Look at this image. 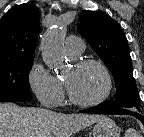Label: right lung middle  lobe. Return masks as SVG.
Masks as SVG:
<instances>
[{"mask_svg": "<svg viewBox=\"0 0 144 137\" xmlns=\"http://www.w3.org/2000/svg\"><path fill=\"white\" fill-rule=\"evenodd\" d=\"M32 58L0 62V101H29L28 76Z\"/></svg>", "mask_w": 144, "mask_h": 137, "instance_id": "obj_1", "label": "right lung middle lobe"}]
</instances>
